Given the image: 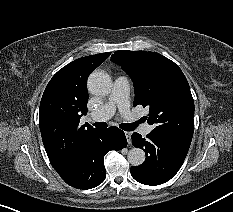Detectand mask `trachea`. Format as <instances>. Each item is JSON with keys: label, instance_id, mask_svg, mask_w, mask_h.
Segmentation results:
<instances>
[{"label": "trachea", "instance_id": "obj_1", "mask_svg": "<svg viewBox=\"0 0 233 212\" xmlns=\"http://www.w3.org/2000/svg\"><path fill=\"white\" fill-rule=\"evenodd\" d=\"M139 122H136V123H129V124H126V123H122L119 125V127L124 130V131H132L136 128L137 124ZM96 128H106L107 127V123L105 122H96L95 124H93Z\"/></svg>", "mask_w": 233, "mask_h": 212}]
</instances>
